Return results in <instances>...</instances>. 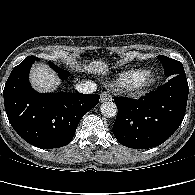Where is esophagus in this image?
Segmentation results:
<instances>
[{"label":"esophagus","mask_w":195,"mask_h":195,"mask_svg":"<svg viewBox=\"0 0 195 195\" xmlns=\"http://www.w3.org/2000/svg\"><path fill=\"white\" fill-rule=\"evenodd\" d=\"M112 100V97L111 95L108 93V92H102L101 95H100V101L103 102V101H110Z\"/></svg>","instance_id":"1"}]
</instances>
